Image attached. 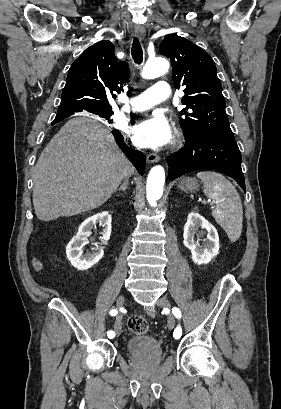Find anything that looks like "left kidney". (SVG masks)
<instances>
[{"label":"left kidney","instance_id":"1","mask_svg":"<svg viewBox=\"0 0 281 409\" xmlns=\"http://www.w3.org/2000/svg\"><path fill=\"white\" fill-rule=\"evenodd\" d=\"M206 229L207 239L203 245L195 241L194 237L199 229ZM183 243L187 249H190L192 255L191 259L196 265H207L211 259H214L219 253V237L218 233L204 217L199 215L197 209L191 211L187 217V223L184 225Z\"/></svg>","mask_w":281,"mask_h":409}]
</instances>
